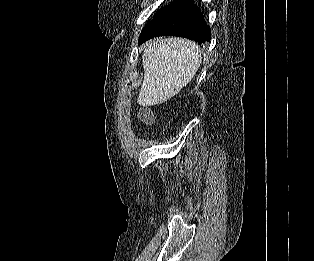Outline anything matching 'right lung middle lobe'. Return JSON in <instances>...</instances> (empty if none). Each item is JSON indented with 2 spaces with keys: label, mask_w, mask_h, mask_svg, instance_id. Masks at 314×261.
I'll return each mask as SVG.
<instances>
[{
  "label": "right lung middle lobe",
  "mask_w": 314,
  "mask_h": 261,
  "mask_svg": "<svg viewBox=\"0 0 314 261\" xmlns=\"http://www.w3.org/2000/svg\"><path fill=\"white\" fill-rule=\"evenodd\" d=\"M171 5V4H170ZM170 5H168L167 7H169ZM167 7L162 8L161 10H159L154 17H156L157 15H159L162 11H164Z\"/></svg>",
  "instance_id": "right-lung-middle-lobe-1"
}]
</instances>
